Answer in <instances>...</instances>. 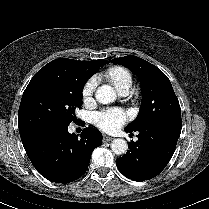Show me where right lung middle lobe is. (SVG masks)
I'll return each instance as SVG.
<instances>
[{"mask_svg": "<svg viewBox=\"0 0 209 209\" xmlns=\"http://www.w3.org/2000/svg\"><path fill=\"white\" fill-rule=\"evenodd\" d=\"M94 72L83 62L59 58L41 68L26 87L18 112L21 138L63 130L82 105V90Z\"/></svg>", "mask_w": 209, "mask_h": 209, "instance_id": "dd1d6c3e", "label": "right lung middle lobe"}]
</instances>
